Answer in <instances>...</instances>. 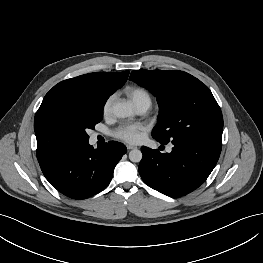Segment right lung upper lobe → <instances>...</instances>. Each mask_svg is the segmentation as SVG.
<instances>
[{
    "mask_svg": "<svg viewBox=\"0 0 263 263\" xmlns=\"http://www.w3.org/2000/svg\"><path fill=\"white\" fill-rule=\"evenodd\" d=\"M128 75L129 71L94 72L64 80L46 94L38 110L54 104H74L97 95L109 97L126 82Z\"/></svg>",
    "mask_w": 263,
    "mask_h": 263,
    "instance_id": "1",
    "label": "right lung upper lobe"
}]
</instances>
